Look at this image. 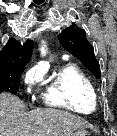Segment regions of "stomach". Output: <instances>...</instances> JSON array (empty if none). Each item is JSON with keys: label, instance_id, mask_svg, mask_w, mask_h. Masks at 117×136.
<instances>
[{"label": "stomach", "instance_id": "stomach-1", "mask_svg": "<svg viewBox=\"0 0 117 136\" xmlns=\"http://www.w3.org/2000/svg\"><path fill=\"white\" fill-rule=\"evenodd\" d=\"M71 136H89L88 132L84 129H78Z\"/></svg>", "mask_w": 117, "mask_h": 136}]
</instances>
